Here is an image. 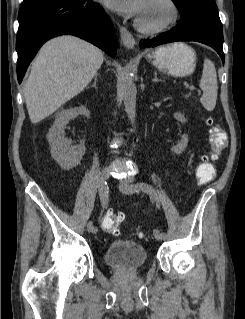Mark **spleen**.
<instances>
[{
	"instance_id": "obj_1",
	"label": "spleen",
	"mask_w": 245,
	"mask_h": 319,
	"mask_svg": "<svg viewBox=\"0 0 245 319\" xmlns=\"http://www.w3.org/2000/svg\"><path fill=\"white\" fill-rule=\"evenodd\" d=\"M199 87L203 91L200 102L207 111H212L216 106L217 100V74L214 63L207 58L204 59Z\"/></svg>"
}]
</instances>
